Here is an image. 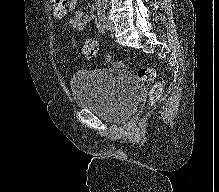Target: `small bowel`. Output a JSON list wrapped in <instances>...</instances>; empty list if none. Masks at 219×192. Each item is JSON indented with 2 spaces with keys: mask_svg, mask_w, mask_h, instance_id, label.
Segmentation results:
<instances>
[{
  "mask_svg": "<svg viewBox=\"0 0 219 192\" xmlns=\"http://www.w3.org/2000/svg\"><path fill=\"white\" fill-rule=\"evenodd\" d=\"M77 0H50L49 8L57 18H62L67 11H72L73 15L69 20L71 29L79 33L81 32L86 24L95 18L94 8L87 15L84 14L82 9H76ZM109 60V57H106Z\"/></svg>",
  "mask_w": 219,
  "mask_h": 192,
  "instance_id": "c3829d8e",
  "label": "small bowel"
}]
</instances>
